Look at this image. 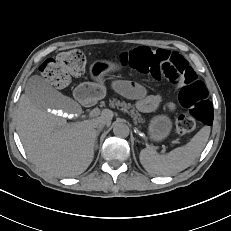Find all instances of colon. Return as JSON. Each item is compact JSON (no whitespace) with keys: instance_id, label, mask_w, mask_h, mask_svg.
<instances>
[{"instance_id":"1","label":"colon","mask_w":231,"mask_h":231,"mask_svg":"<svg viewBox=\"0 0 231 231\" xmlns=\"http://www.w3.org/2000/svg\"><path fill=\"white\" fill-rule=\"evenodd\" d=\"M117 58L123 65L148 73L155 79H165L179 89V102L186 112L175 123V135L190 133L198 124L212 123L213 108L208 90L182 55L164 49L138 47L121 53ZM86 64L84 51L74 49L45 60L40 71L50 84L64 87L72 77L84 71Z\"/></svg>"}]
</instances>
